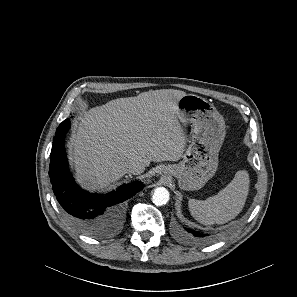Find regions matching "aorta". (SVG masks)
<instances>
[{"label":"aorta","mask_w":297,"mask_h":297,"mask_svg":"<svg viewBox=\"0 0 297 297\" xmlns=\"http://www.w3.org/2000/svg\"><path fill=\"white\" fill-rule=\"evenodd\" d=\"M152 201L157 206L165 205L169 201V192L164 187H158L154 190Z\"/></svg>","instance_id":"aorta-1"}]
</instances>
